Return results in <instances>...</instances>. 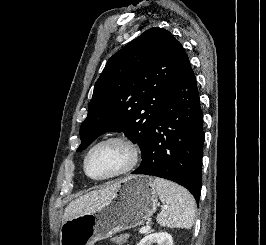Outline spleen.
<instances>
[{
	"instance_id": "1",
	"label": "spleen",
	"mask_w": 266,
	"mask_h": 245,
	"mask_svg": "<svg viewBox=\"0 0 266 245\" xmlns=\"http://www.w3.org/2000/svg\"><path fill=\"white\" fill-rule=\"evenodd\" d=\"M153 183L161 203L167 207L166 211L157 215L160 227L191 229L196 211L192 195L184 187L165 179H154Z\"/></svg>"
}]
</instances>
